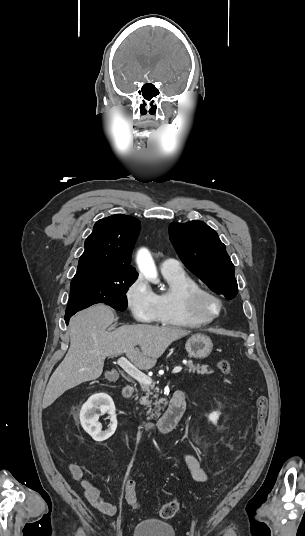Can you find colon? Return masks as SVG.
I'll use <instances>...</instances> for the list:
<instances>
[{"label": "colon", "instance_id": "colon-1", "mask_svg": "<svg viewBox=\"0 0 305 536\" xmlns=\"http://www.w3.org/2000/svg\"><path fill=\"white\" fill-rule=\"evenodd\" d=\"M218 368L220 372L224 375H228L231 373V363L228 359L219 360ZM267 408H268L267 397L265 395H259L256 398V425H255V443L256 444H259L261 442L263 435H264ZM124 498H125L126 503L131 508L133 509L139 508L138 494H137V490H136L135 483L133 480H129L127 483H125ZM178 507H179V504L176 500L168 501L167 503L163 504L158 509V515L160 518L164 520H168L175 515Z\"/></svg>", "mask_w": 305, "mask_h": 536}]
</instances>
